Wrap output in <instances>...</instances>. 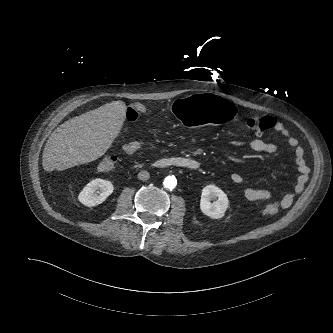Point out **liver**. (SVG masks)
<instances>
[{
    "mask_svg": "<svg viewBox=\"0 0 333 333\" xmlns=\"http://www.w3.org/2000/svg\"><path fill=\"white\" fill-rule=\"evenodd\" d=\"M126 109L123 101H113L61 124L45 144L44 170H65L103 156L121 131Z\"/></svg>",
    "mask_w": 333,
    "mask_h": 333,
    "instance_id": "liver-1",
    "label": "liver"
}]
</instances>
